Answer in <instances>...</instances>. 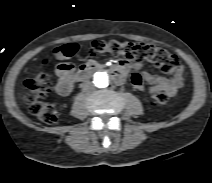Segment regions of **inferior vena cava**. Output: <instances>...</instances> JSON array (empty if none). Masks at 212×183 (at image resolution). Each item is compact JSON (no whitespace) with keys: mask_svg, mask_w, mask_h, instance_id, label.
Segmentation results:
<instances>
[{"mask_svg":"<svg viewBox=\"0 0 212 183\" xmlns=\"http://www.w3.org/2000/svg\"><path fill=\"white\" fill-rule=\"evenodd\" d=\"M82 87L85 92H91L95 89V87L93 86L91 82L84 83Z\"/></svg>","mask_w":212,"mask_h":183,"instance_id":"602c4592","label":"inferior vena cava"}]
</instances>
